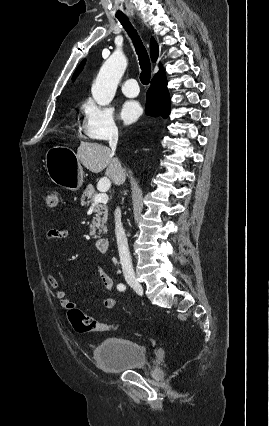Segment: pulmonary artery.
Masks as SVG:
<instances>
[{
	"instance_id": "1",
	"label": "pulmonary artery",
	"mask_w": 269,
	"mask_h": 426,
	"mask_svg": "<svg viewBox=\"0 0 269 426\" xmlns=\"http://www.w3.org/2000/svg\"><path fill=\"white\" fill-rule=\"evenodd\" d=\"M121 90L127 97H136L139 94V87L136 79H126L121 86Z\"/></svg>"
}]
</instances>
